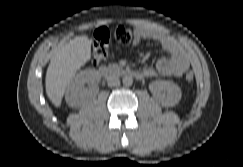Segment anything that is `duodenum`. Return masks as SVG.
Wrapping results in <instances>:
<instances>
[{
	"label": "duodenum",
	"mask_w": 243,
	"mask_h": 167,
	"mask_svg": "<svg viewBox=\"0 0 243 167\" xmlns=\"http://www.w3.org/2000/svg\"><path fill=\"white\" fill-rule=\"evenodd\" d=\"M98 72L100 75L106 76V77L123 75V76L134 77L136 79H142L145 76L142 71L127 69V68L118 67V66H101L98 69Z\"/></svg>",
	"instance_id": "410a0bca"
}]
</instances>
